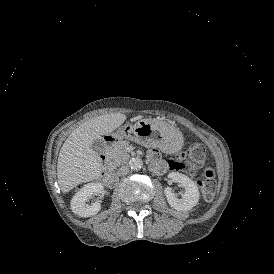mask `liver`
<instances>
[{"instance_id":"1","label":"liver","mask_w":274,"mask_h":274,"mask_svg":"<svg viewBox=\"0 0 274 274\" xmlns=\"http://www.w3.org/2000/svg\"><path fill=\"white\" fill-rule=\"evenodd\" d=\"M125 120L126 115L119 112L100 115L71 132L61 147L57 163L58 184L63 193L101 176V159L92 145L103 135L113 132Z\"/></svg>"}]
</instances>
